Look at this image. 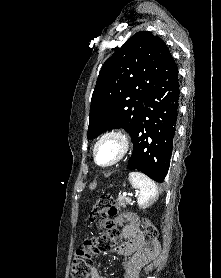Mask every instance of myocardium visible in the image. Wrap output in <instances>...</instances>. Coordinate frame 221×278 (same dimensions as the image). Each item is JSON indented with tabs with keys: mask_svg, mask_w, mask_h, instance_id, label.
<instances>
[{
	"mask_svg": "<svg viewBox=\"0 0 221 278\" xmlns=\"http://www.w3.org/2000/svg\"><path fill=\"white\" fill-rule=\"evenodd\" d=\"M107 138H114L119 142L120 152H119L118 157L113 162H111L109 164H101V163H99V161L97 159L96 149H97L98 145ZM129 149H130V141H129L128 136L120 130H110V131H107V132L103 133L102 135H100L97 138V140L95 141V143L93 145V149H92L93 160L100 167L111 168V167L116 166L117 164H119L126 158V156L128 155Z\"/></svg>",
	"mask_w": 221,
	"mask_h": 278,
	"instance_id": "obj_1",
	"label": "myocardium"
}]
</instances>
